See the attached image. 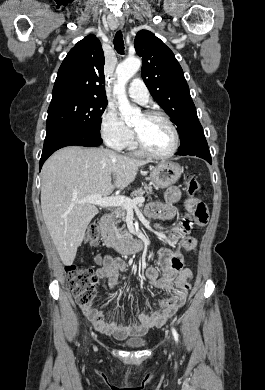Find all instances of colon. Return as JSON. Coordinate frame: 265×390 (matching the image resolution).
<instances>
[{
    "label": "colon",
    "instance_id": "obj_1",
    "mask_svg": "<svg viewBox=\"0 0 265 390\" xmlns=\"http://www.w3.org/2000/svg\"><path fill=\"white\" fill-rule=\"evenodd\" d=\"M186 191L189 195H195L200 190V184L194 175H188L185 180ZM99 239V228L96 224L89 226L86 234V241L97 244ZM70 290L76 302L85 306L91 304L96 296V285L99 281L96 273L91 267L69 265L65 268Z\"/></svg>",
    "mask_w": 265,
    "mask_h": 390
}]
</instances>
